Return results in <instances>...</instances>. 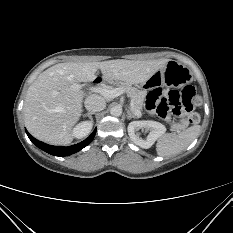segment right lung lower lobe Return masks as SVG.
Masks as SVG:
<instances>
[{"instance_id": "1", "label": "right lung lower lobe", "mask_w": 233, "mask_h": 233, "mask_svg": "<svg viewBox=\"0 0 233 233\" xmlns=\"http://www.w3.org/2000/svg\"><path fill=\"white\" fill-rule=\"evenodd\" d=\"M29 139L40 149L44 150L45 152L54 155V156H68L71 155L81 149H83L84 147H86L88 144L91 143V141L93 140L96 130L93 131V133L84 141L76 144V145H72V146H68V147H63V146H51L48 144H45L37 139H35L34 137H32L27 131H26Z\"/></svg>"}]
</instances>
